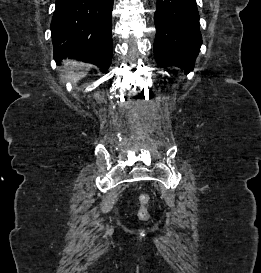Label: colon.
Returning a JSON list of instances; mask_svg holds the SVG:
<instances>
[{"label":"colon","instance_id":"1","mask_svg":"<svg viewBox=\"0 0 261 273\" xmlns=\"http://www.w3.org/2000/svg\"><path fill=\"white\" fill-rule=\"evenodd\" d=\"M150 196L147 194H142L139 197V210H138V216L142 219H146L149 216L148 206L150 204Z\"/></svg>","mask_w":261,"mask_h":273}]
</instances>
